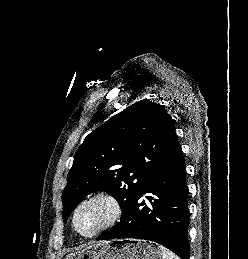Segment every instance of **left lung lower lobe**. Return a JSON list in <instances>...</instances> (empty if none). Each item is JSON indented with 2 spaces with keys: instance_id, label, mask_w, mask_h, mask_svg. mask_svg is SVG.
<instances>
[{
  "instance_id": "obj_1",
  "label": "left lung lower lobe",
  "mask_w": 248,
  "mask_h": 259,
  "mask_svg": "<svg viewBox=\"0 0 248 259\" xmlns=\"http://www.w3.org/2000/svg\"><path fill=\"white\" fill-rule=\"evenodd\" d=\"M149 193L147 202L141 201ZM188 187L181 147L148 179L121 221L97 240L136 238L157 242L181 259H189Z\"/></svg>"
}]
</instances>
